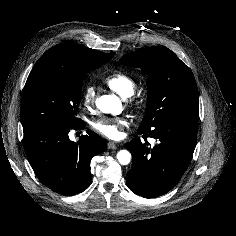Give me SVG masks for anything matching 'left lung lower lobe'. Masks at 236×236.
I'll return each mask as SVG.
<instances>
[{
	"label": "left lung lower lobe",
	"instance_id": "0a47b994",
	"mask_svg": "<svg viewBox=\"0 0 236 236\" xmlns=\"http://www.w3.org/2000/svg\"><path fill=\"white\" fill-rule=\"evenodd\" d=\"M198 121L170 119L151 129L140 130L144 141L134 138L125 147L132 153V168L126 183L145 198L169 192L188 168L197 141ZM147 137L156 144L149 147Z\"/></svg>",
	"mask_w": 236,
	"mask_h": 236
}]
</instances>
